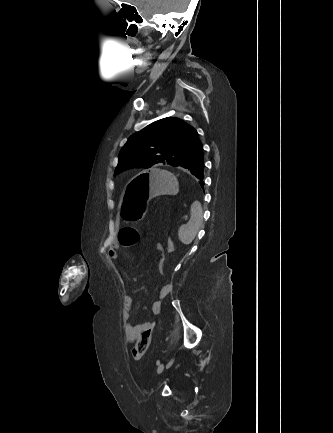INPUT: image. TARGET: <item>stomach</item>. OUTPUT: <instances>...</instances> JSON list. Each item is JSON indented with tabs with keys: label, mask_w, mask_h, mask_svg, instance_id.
I'll use <instances>...</instances> for the list:
<instances>
[{
	"label": "stomach",
	"mask_w": 333,
	"mask_h": 433,
	"mask_svg": "<svg viewBox=\"0 0 333 433\" xmlns=\"http://www.w3.org/2000/svg\"><path fill=\"white\" fill-rule=\"evenodd\" d=\"M178 190L172 169H143L126 187L120 215L129 225H138L147 213V203L151 198Z\"/></svg>",
	"instance_id": "obj_1"
}]
</instances>
